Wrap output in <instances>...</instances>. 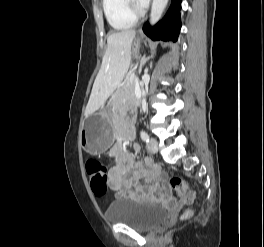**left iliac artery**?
I'll return each mask as SVG.
<instances>
[{"mask_svg":"<svg viewBox=\"0 0 264 247\" xmlns=\"http://www.w3.org/2000/svg\"><path fill=\"white\" fill-rule=\"evenodd\" d=\"M140 136L143 141L149 142V135L144 130L140 131Z\"/></svg>","mask_w":264,"mask_h":247,"instance_id":"obj_1","label":"left iliac artery"}]
</instances>
